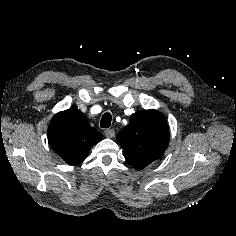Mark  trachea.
Masks as SVG:
<instances>
[{
	"instance_id": "obj_1",
	"label": "trachea",
	"mask_w": 236,
	"mask_h": 236,
	"mask_svg": "<svg viewBox=\"0 0 236 236\" xmlns=\"http://www.w3.org/2000/svg\"><path fill=\"white\" fill-rule=\"evenodd\" d=\"M111 121H112V116L109 112L104 113L101 121H100V127L101 128H109L111 125Z\"/></svg>"
}]
</instances>
